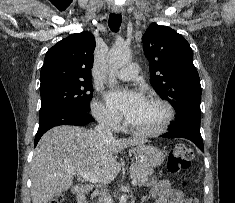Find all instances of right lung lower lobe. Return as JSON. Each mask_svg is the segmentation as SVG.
<instances>
[{
    "label": "right lung lower lobe",
    "instance_id": "obj_1",
    "mask_svg": "<svg viewBox=\"0 0 235 203\" xmlns=\"http://www.w3.org/2000/svg\"><path fill=\"white\" fill-rule=\"evenodd\" d=\"M94 122V118L89 112L63 108L51 111L47 114L39 116V128L36 133L34 147L37 145L41 136L49 129L59 125H76L84 126Z\"/></svg>",
    "mask_w": 235,
    "mask_h": 203
}]
</instances>
